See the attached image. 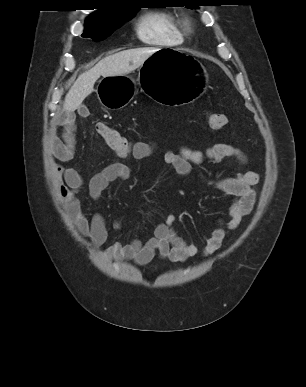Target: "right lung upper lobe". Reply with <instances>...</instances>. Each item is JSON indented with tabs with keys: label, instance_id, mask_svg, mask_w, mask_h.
<instances>
[{
	"label": "right lung upper lobe",
	"instance_id": "obj_1",
	"mask_svg": "<svg viewBox=\"0 0 306 387\" xmlns=\"http://www.w3.org/2000/svg\"><path fill=\"white\" fill-rule=\"evenodd\" d=\"M126 9H131V8H126V7H113L109 9H102L97 12H94L91 14L86 21H91V22H106L110 20L111 18L117 16L121 11H124ZM138 9V8H134Z\"/></svg>",
	"mask_w": 306,
	"mask_h": 387
}]
</instances>
